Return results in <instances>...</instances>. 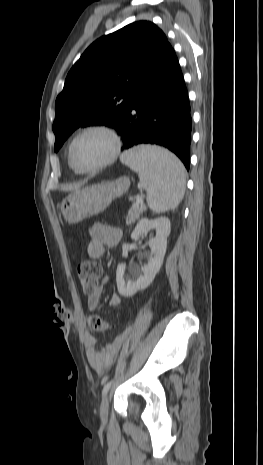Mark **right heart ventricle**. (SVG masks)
<instances>
[{
    "label": "right heart ventricle",
    "instance_id": "e07e8e85",
    "mask_svg": "<svg viewBox=\"0 0 263 465\" xmlns=\"http://www.w3.org/2000/svg\"><path fill=\"white\" fill-rule=\"evenodd\" d=\"M69 166H70V164H69ZM70 167H71V166H70ZM71 169H72V167H71ZM72 170H73V169H72ZM73 171H74V170H73ZM74 172H75V171H74ZM75 173H76V172H75Z\"/></svg>",
    "mask_w": 263,
    "mask_h": 465
}]
</instances>
